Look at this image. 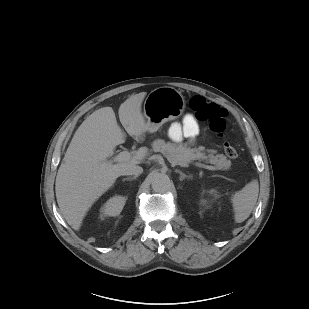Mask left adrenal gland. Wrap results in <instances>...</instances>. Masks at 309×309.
Listing matches in <instances>:
<instances>
[{"label": "left adrenal gland", "instance_id": "a2214340", "mask_svg": "<svg viewBox=\"0 0 309 309\" xmlns=\"http://www.w3.org/2000/svg\"><path fill=\"white\" fill-rule=\"evenodd\" d=\"M175 172L176 173H179L180 174V181H182V180H184L185 178H190L191 176H188V175H186V174H184L182 171H180V170H175Z\"/></svg>", "mask_w": 309, "mask_h": 309}]
</instances>
